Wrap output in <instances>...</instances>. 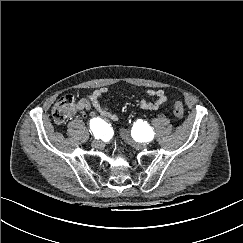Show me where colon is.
I'll return each instance as SVG.
<instances>
[{"instance_id": "5ec220e1", "label": "colon", "mask_w": 243, "mask_h": 243, "mask_svg": "<svg viewBox=\"0 0 243 243\" xmlns=\"http://www.w3.org/2000/svg\"><path fill=\"white\" fill-rule=\"evenodd\" d=\"M76 104V98L73 95L62 96L52 108V117L55 123L66 122L74 113ZM173 113L179 119L184 117V107L180 101L174 103Z\"/></svg>"}]
</instances>
